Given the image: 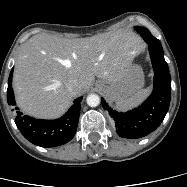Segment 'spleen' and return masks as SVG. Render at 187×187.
Masks as SVG:
<instances>
[{
	"mask_svg": "<svg viewBox=\"0 0 187 187\" xmlns=\"http://www.w3.org/2000/svg\"><path fill=\"white\" fill-rule=\"evenodd\" d=\"M149 94H150V88L141 89L137 91L131 97L123 101L116 102V106L118 109L123 110V111L129 110L139 105L144 99L148 97Z\"/></svg>",
	"mask_w": 187,
	"mask_h": 187,
	"instance_id": "3e777b00",
	"label": "spleen"
}]
</instances>
